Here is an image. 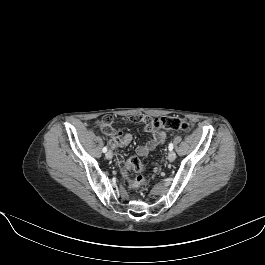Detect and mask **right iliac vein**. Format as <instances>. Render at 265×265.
Instances as JSON below:
<instances>
[{
  "label": "right iliac vein",
  "instance_id": "1",
  "mask_svg": "<svg viewBox=\"0 0 265 265\" xmlns=\"http://www.w3.org/2000/svg\"><path fill=\"white\" fill-rule=\"evenodd\" d=\"M106 158H107L108 160H111V159L113 158V152H112V151H108V152L106 153Z\"/></svg>",
  "mask_w": 265,
  "mask_h": 265
}]
</instances>
